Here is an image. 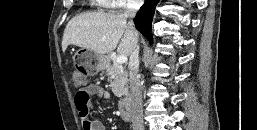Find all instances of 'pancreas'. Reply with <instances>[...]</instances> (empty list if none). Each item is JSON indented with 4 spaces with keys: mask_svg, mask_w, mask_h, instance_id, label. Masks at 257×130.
Here are the masks:
<instances>
[{
    "mask_svg": "<svg viewBox=\"0 0 257 130\" xmlns=\"http://www.w3.org/2000/svg\"><path fill=\"white\" fill-rule=\"evenodd\" d=\"M108 81L110 83L112 92L117 97H122L128 93V73L125 68L113 62L106 65Z\"/></svg>",
    "mask_w": 257,
    "mask_h": 130,
    "instance_id": "pancreas-1",
    "label": "pancreas"
}]
</instances>
